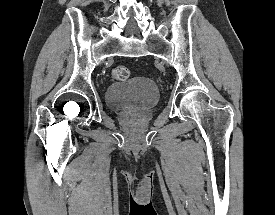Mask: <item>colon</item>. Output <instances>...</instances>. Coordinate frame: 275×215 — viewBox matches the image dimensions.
<instances>
[{
	"instance_id": "obj_1",
	"label": "colon",
	"mask_w": 275,
	"mask_h": 215,
	"mask_svg": "<svg viewBox=\"0 0 275 215\" xmlns=\"http://www.w3.org/2000/svg\"><path fill=\"white\" fill-rule=\"evenodd\" d=\"M112 78L118 81L127 80L130 77V72L125 66H115L111 71Z\"/></svg>"
}]
</instances>
